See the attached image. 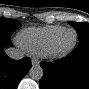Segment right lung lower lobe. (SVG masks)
<instances>
[{
	"mask_svg": "<svg viewBox=\"0 0 89 89\" xmlns=\"http://www.w3.org/2000/svg\"><path fill=\"white\" fill-rule=\"evenodd\" d=\"M12 46L10 38H0V89H16L20 80L31 68V59L24 57L21 60L9 58L3 47Z\"/></svg>",
	"mask_w": 89,
	"mask_h": 89,
	"instance_id": "right-lung-lower-lobe-1",
	"label": "right lung lower lobe"
}]
</instances>
